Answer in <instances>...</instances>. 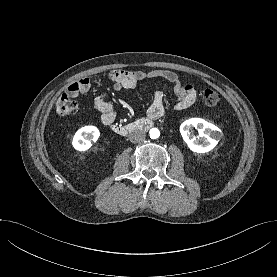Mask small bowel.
Instances as JSON below:
<instances>
[{"instance_id":"obj_1","label":"small bowel","mask_w":277,"mask_h":277,"mask_svg":"<svg viewBox=\"0 0 277 277\" xmlns=\"http://www.w3.org/2000/svg\"><path fill=\"white\" fill-rule=\"evenodd\" d=\"M113 82V89L117 92L133 89L136 85L145 79L162 78L172 84L174 93L177 97L175 109L185 110L191 107L197 98V91L191 83H184L178 75L170 70H150V71H127L115 70L109 75ZM86 82V92L92 85L91 78H83ZM75 83L71 84L67 92ZM83 92V93H84ZM78 96V95H76ZM93 108L100 113V120L104 125H110L114 122L116 114L112 104L107 100L105 93L98 94L93 99ZM165 105L162 91H156L151 106L149 108V117L159 119L165 115Z\"/></svg>"}]
</instances>
